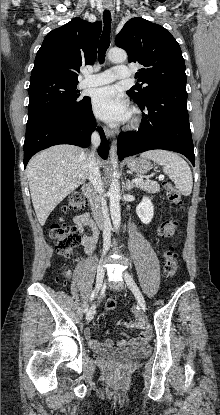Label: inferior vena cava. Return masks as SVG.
I'll use <instances>...</instances> for the list:
<instances>
[{
    "mask_svg": "<svg viewBox=\"0 0 220 415\" xmlns=\"http://www.w3.org/2000/svg\"><path fill=\"white\" fill-rule=\"evenodd\" d=\"M92 150L89 153L88 170L89 181L93 186V193L90 196V203L93 210L94 218L98 225L103 228V240L104 249L108 250L111 245V223L107 214V207L105 201L99 195L102 190V180L98 162L96 161L95 149L100 143V136L97 132H94L91 136Z\"/></svg>",
    "mask_w": 220,
    "mask_h": 415,
    "instance_id": "1",
    "label": "inferior vena cava"
}]
</instances>
